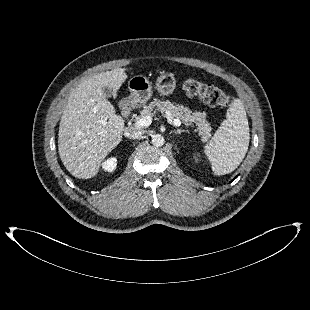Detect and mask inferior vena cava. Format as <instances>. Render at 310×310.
<instances>
[{
    "label": "inferior vena cava",
    "instance_id": "obj_1",
    "mask_svg": "<svg viewBox=\"0 0 310 310\" xmlns=\"http://www.w3.org/2000/svg\"><path fill=\"white\" fill-rule=\"evenodd\" d=\"M143 132L134 128H126L124 135L130 139H138L142 136Z\"/></svg>",
    "mask_w": 310,
    "mask_h": 310
}]
</instances>
